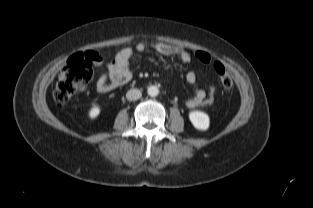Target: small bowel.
<instances>
[{
  "label": "small bowel",
  "mask_w": 313,
  "mask_h": 208,
  "mask_svg": "<svg viewBox=\"0 0 313 208\" xmlns=\"http://www.w3.org/2000/svg\"><path fill=\"white\" fill-rule=\"evenodd\" d=\"M153 48L156 52L164 56H179L183 63L191 61L190 51L173 46L165 42H146L141 41L136 45L138 52H144L148 48ZM134 50L126 47L120 50L115 57L104 63L102 58L97 55L94 61V66L100 70V75L96 81V90L99 93H109L120 86L126 84L132 77L130 70V62L133 58ZM186 80L191 85H196L197 77L194 71H189L186 74ZM206 99V93L202 89H196L194 96L187 100L186 106L188 108H195L203 105Z\"/></svg>",
  "instance_id": "1"
}]
</instances>
